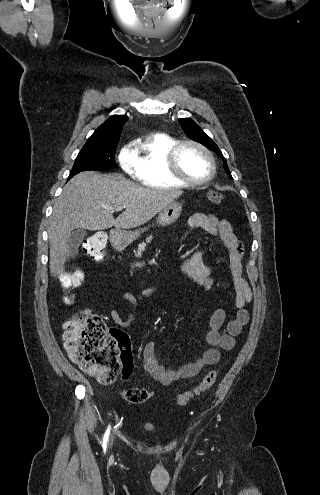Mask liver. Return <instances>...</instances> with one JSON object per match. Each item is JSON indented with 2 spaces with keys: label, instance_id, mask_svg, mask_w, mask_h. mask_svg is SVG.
<instances>
[{
  "label": "liver",
  "instance_id": "1",
  "mask_svg": "<svg viewBox=\"0 0 320 495\" xmlns=\"http://www.w3.org/2000/svg\"><path fill=\"white\" fill-rule=\"evenodd\" d=\"M181 194L182 191L143 188L120 174L101 176L87 171L76 175L63 188L50 217V273L63 272L70 256L67 240L74 229L139 227ZM116 207H125V211L115 219L113 209Z\"/></svg>",
  "mask_w": 320,
  "mask_h": 495
}]
</instances>
